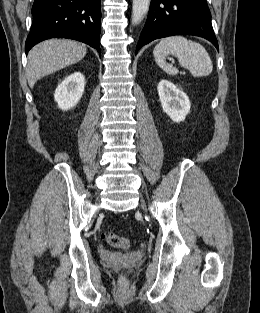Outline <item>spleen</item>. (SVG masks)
<instances>
[{"label":"spleen","mask_w":260,"mask_h":313,"mask_svg":"<svg viewBox=\"0 0 260 313\" xmlns=\"http://www.w3.org/2000/svg\"><path fill=\"white\" fill-rule=\"evenodd\" d=\"M153 55L157 65L169 75H176L179 71L165 61L167 55L177 57L180 66L188 69L194 77L208 76L213 70L211 58L205 48L183 36L162 39L155 46Z\"/></svg>","instance_id":"1"}]
</instances>
